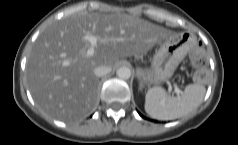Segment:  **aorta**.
Here are the masks:
<instances>
[{
	"mask_svg": "<svg viewBox=\"0 0 238 145\" xmlns=\"http://www.w3.org/2000/svg\"><path fill=\"white\" fill-rule=\"evenodd\" d=\"M116 75L121 79H129L131 76V70L126 66H122L117 69Z\"/></svg>",
	"mask_w": 238,
	"mask_h": 145,
	"instance_id": "aorta-1",
	"label": "aorta"
}]
</instances>
